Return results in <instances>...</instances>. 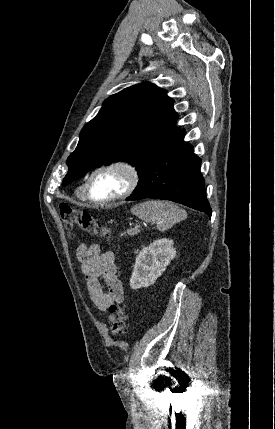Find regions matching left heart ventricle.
<instances>
[{"label": "left heart ventricle", "mask_w": 275, "mask_h": 429, "mask_svg": "<svg viewBox=\"0 0 275 429\" xmlns=\"http://www.w3.org/2000/svg\"><path fill=\"white\" fill-rule=\"evenodd\" d=\"M126 184L125 175L118 170L98 173L91 183V195L98 200L107 199L120 193Z\"/></svg>", "instance_id": "obj_1"}]
</instances>
